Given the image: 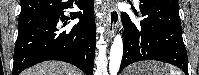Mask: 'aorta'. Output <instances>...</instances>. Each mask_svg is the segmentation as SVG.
I'll return each mask as SVG.
<instances>
[{"label": "aorta", "mask_w": 199, "mask_h": 75, "mask_svg": "<svg viewBox=\"0 0 199 75\" xmlns=\"http://www.w3.org/2000/svg\"><path fill=\"white\" fill-rule=\"evenodd\" d=\"M123 55V41L120 35L114 38L110 51L109 72L116 75L119 71Z\"/></svg>", "instance_id": "1"}]
</instances>
